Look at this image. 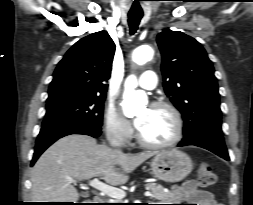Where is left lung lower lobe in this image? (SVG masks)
Wrapping results in <instances>:
<instances>
[{"label":"left lung lower lobe","mask_w":253,"mask_h":205,"mask_svg":"<svg viewBox=\"0 0 253 205\" xmlns=\"http://www.w3.org/2000/svg\"><path fill=\"white\" fill-rule=\"evenodd\" d=\"M187 145H195L198 147L205 148L216 155L224 158L225 160L229 161L228 152L224 143V138L222 134L214 133V132H207L200 135L198 138L193 140L192 142H183L181 141L178 146H187Z\"/></svg>","instance_id":"left-lung-lower-lobe-1"}]
</instances>
